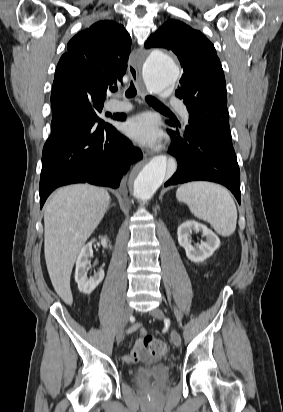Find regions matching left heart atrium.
Segmentation results:
<instances>
[{
	"label": "left heart atrium",
	"instance_id": "left-heart-atrium-1",
	"mask_svg": "<svg viewBox=\"0 0 283 412\" xmlns=\"http://www.w3.org/2000/svg\"><path fill=\"white\" fill-rule=\"evenodd\" d=\"M124 133L143 146H156L162 140V132L156 118L148 113L129 119L124 126Z\"/></svg>",
	"mask_w": 283,
	"mask_h": 412
}]
</instances>
